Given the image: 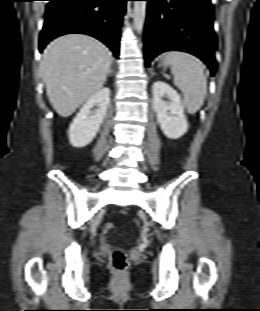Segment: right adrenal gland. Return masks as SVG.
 Here are the masks:
<instances>
[{
    "label": "right adrenal gland",
    "mask_w": 260,
    "mask_h": 311,
    "mask_svg": "<svg viewBox=\"0 0 260 311\" xmlns=\"http://www.w3.org/2000/svg\"><path fill=\"white\" fill-rule=\"evenodd\" d=\"M112 73H113V69H112V67H110V69H109V71L107 73V76L111 75Z\"/></svg>",
    "instance_id": "obj_1"
}]
</instances>
